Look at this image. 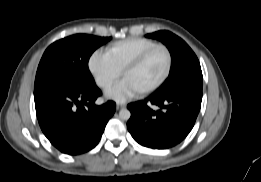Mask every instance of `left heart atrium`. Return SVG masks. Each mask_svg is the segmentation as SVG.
I'll return each mask as SVG.
<instances>
[{
    "mask_svg": "<svg viewBox=\"0 0 261 182\" xmlns=\"http://www.w3.org/2000/svg\"><path fill=\"white\" fill-rule=\"evenodd\" d=\"M139 93L140 92L130 82L122 80L106 93V97L117 102H124L137 96Z\"/></svg>",
    "mask_w": 261,
    "mask_h": 182,
    "instance_id": "1",
    "label": "left heart atrium"
}]
</instances>
